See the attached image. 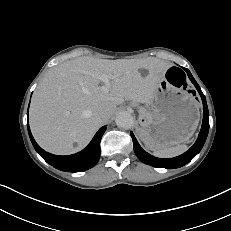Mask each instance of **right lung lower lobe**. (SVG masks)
Instances as JSON below:
<instances>
[{"label": "right lung lower lobe", "instance_id": "right-lung-lower-lobe-1", "mask_svg": "<svg viewBox=\"0 0 231 231\" xmlns=\"http://www.w3.org/2000/svg\"><path fill=\"white\" fill-rule=\"evenodd\" d=\"M30 140L41 157L56 169L65 172H81L95 166L100 158V141L106 127H101L89 145L82 151L68 156H57L44 151L34 140L29 125H27Z\"/></svg>", "mask_w": 231, "mask_h": 231}]
</instances>
